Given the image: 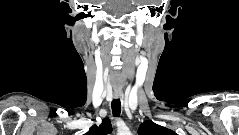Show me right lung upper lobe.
<instances>
[{
  "label": "right lung upper lobe",
  "mask_w": 239,
  "mask_h": 135,
  "mask_svg": "<svg viewBox=\"0 0 239 135\" xmlns=\"http://www.w3.org/2000/svg\"><path fill=\"white\" fill-rule=\"evenodd\" d=\"M112 131V126L108 119H104L100 126L93 125L85 135H107Z\"/></svg>",
  "instance_id": "cb5924a9"
}]
</instances>
